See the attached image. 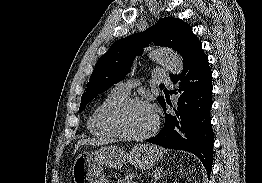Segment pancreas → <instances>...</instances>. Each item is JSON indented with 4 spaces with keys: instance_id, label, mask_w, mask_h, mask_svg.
Wrapping results in <instances>:
<instances>
[{
    "instance_id": "cf45deb5",
    "label": "pancreas",
    "mask_w": 262,
    "mask_h": 183,
    "mask_svg": "<svg viewBox=\"0 0 262 183\" xmlns=\"http://www.w3.org/2000/svg\"><path fill=\"white\" fill-rule=\"evenodd\" d=\"M133 176L132 175H125L123 177H121L117 183H134L132 181Z\"/></svg>"
}]
</instances>
